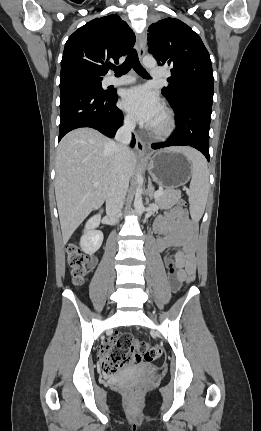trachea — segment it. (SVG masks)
<instances>
[{
  "instance_id": "trachea-1",
  "label": "trachea",
  "mask_w": 261,
  "mask_h": 431,
  "mask_svg": "<svg viewBox=\"0 0 261 431\" xmlns=\"http://www.w3.org/2000/svg\"><path fill=\"white\" fill-rule=\"evenodd\" d=\"M132 67L140 76L144 78H150L147 71L140 64L136 50H132L129 53L128 57L122 65L118 67L113 66L111 67V69L115 71L116 76H121L128 73Z\"/></svg>"
}]
</instances>
